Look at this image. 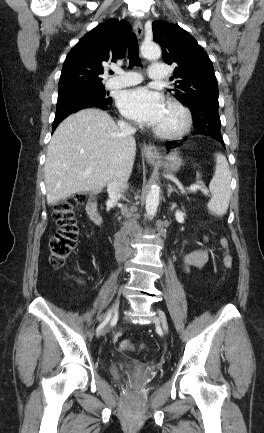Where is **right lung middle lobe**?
Instances as JSON below:
<instances>
[{"label":"right lung middle lobe","mask_w":264,"mask_h":433,"mask_svg":"<svg viewBox=\"0 0 264 433\" xmlns=\"http://www.w3.org/2000/svg\"><path fill=\"white\" fill-rule=\"evenodd\" d=\"M108 95L109 94L108 92H105L102 83L90 86L78 85L74 87H69L63 91H59L58 93L56 115L63 113V111L65 110V106L62 105L66 104L67 102L75 101L78 98L88 97H95L101 100L111 99V97H109Z\"/></svg>","instance_id":"obj_1"}]
</instances>
